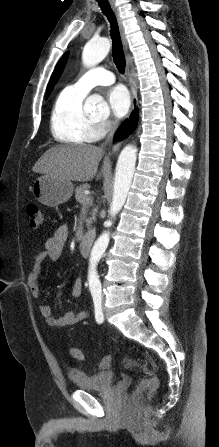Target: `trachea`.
Listing matches in <instances>:
<instances>
[{"label":"trachea","mask_w":219,"mask_h":447,"mask_svg":"<svg viewBox=\"0 0 219 447\" xmlns=\"http://www.w3.org/2000/svg\"><path fill=\"white\" fill-rule=\"evenodd\" d=\"M104 13V15L108 18L110 24H111V30L110 35L113 41L112 44V56L114 63L119 70V72L124 73L125 71V65L126 60L124 56L123 46L120 38L119 33V27L118 23L115 17V14L113 13L110 4L108 0H96Z\"/></svg>","instance_id":"trachea-1"}]
</instances>
